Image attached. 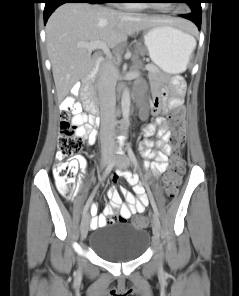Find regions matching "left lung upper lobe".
I'll return each instance as SVG.
<instances>
[{
  "label": "left lung upper lobe",
  "mask_w": 239,
  "mask_h": 296,
  "mask_svg": "<svg viewBox=\"0 0 239 296\" xmlns=\"http://www.w3.org/2000/svg\"><path fill=\"white\" fill-rule=\"evenodd\" d=\"M182 3H187L190 6V12L195 13L196 15L201 16L202 8H201V0H182Z\"/></svg>",
  "instance_id": "obj_1"
}]
</instances>
